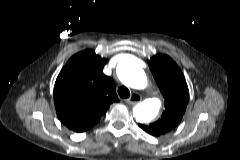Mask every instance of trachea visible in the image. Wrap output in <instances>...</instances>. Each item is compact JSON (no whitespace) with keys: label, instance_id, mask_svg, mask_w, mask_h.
I'll use <instances>...</instances> for the list:
<instances>
[{"label":"trachea","instance_id":"3493384b","mask_svg":"<svg viewBox=\"0 0 240 160\" xmlns=\"http://www.w3.org/2000/svg\"><path fill=\"white\" fill-rule=\"evenodd\" d=\"M118 94L121 98H128L130 96V91L125 86H120L118 88Z\"/></svg>","mask_w":240,"mask_h":160}]
</instances>
